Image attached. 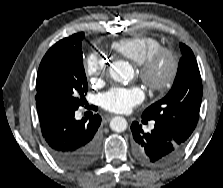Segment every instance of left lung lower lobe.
Returning a JSON list of instances; mask_svg holds the SVG:
<instances>
[{
    "label": "left lung lower lobe",
    "mask_w": 223,
    "mask_h": 188,
    "mask_svg": "<svg viewBox=\"0 0 223 188\" xmlns=\"http://www.w3.org/2000/svg\"><path fill=\"white\" fill-rule=\"evenodd\" d=\"M134 156L148 167H164L173 163L183 152L187 141L167 126L155 122V128L145 133L138 122H133Z\"/></svg>",
    "instance_id": "left-lung-lower-lobe-1"
}]
</instances>
